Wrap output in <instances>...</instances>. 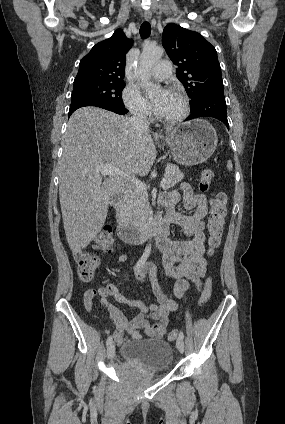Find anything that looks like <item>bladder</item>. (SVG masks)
Wrapping results in <instances>:
<instances>
[{
    "instance_id": "1",
    "label": "bladder",
    "mask_w": 285,
    "mask_h": 424,
    "mask_svg": "<svg viewBox=\"0 0 285 424\" xmlns=\"http://www.w3.org/2000/svg\"><path fill=\"white\" fill-rule=\"evenodd\" d=\"M120 353L126 363H132L157 376L168 371L174 354L170 344L159 339H138L122 344Z\"/></svg>"
}]
</instances>
